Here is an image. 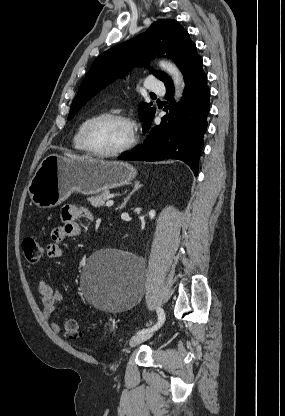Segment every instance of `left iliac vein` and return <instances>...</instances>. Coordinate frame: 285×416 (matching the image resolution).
I'll return each mask as SVG.
<instances>
[{
  "mask_svg": "<svg viewBox=\"0 0 285 416\" xmlns=\"http://www.w3.org/2000/svg\"><path fill=\"white\" fill-rule=\"evenodd\" d=\"M157 329L133 336L130 340V346L134 347V346H137V345L141 344L142 342L146 341L147 339H149L151 336L154 335V333Z\"/></svg>",
  "mask_w": 285,
  "mask_h": 416,
  "instance_id": "obj_1",
  "label": "left iliac vein"
}]
</instances>
